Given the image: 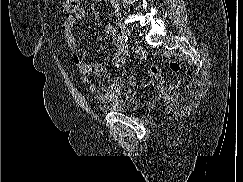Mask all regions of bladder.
<instances>
[{
  "label": "bladder",
  "mask_w": 243,
  "mask_h": 182,
  "mask_svg": "<svg viewBox=\"0 0 243 182\" xmlns=\"http://www.w3.org/2000/svg\"><path fill=\"white\" fill-rule=\"evenodd\" d=\"M145 104V94L135 91H127L122 98L109 104L100 105L98 106V109L104 112L131 113L140 110Z\"/></svg>",
  "instance_id": "31cf9c89"
}]
</instances>
